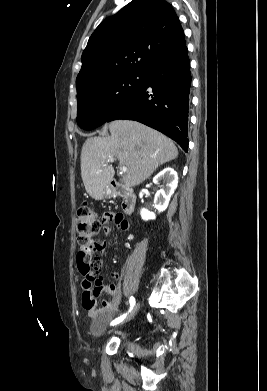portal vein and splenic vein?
I'll return each instance as SVG.
<instances>
[{"instance_id": "portal-vein-and-splenic-vein-1", "label": "portal vein and splenic vein", "mask_w": 267, "mask_h": 391, "mask_svg": "<svg viewBox=\"0 0 267 391\" xmlns=\"http://www.w3.org/2000/svg\"><path fill=\"white\" fill-rule=\"evenodd\" d=\"M114 161V158L113 157H110L109 159H108V162H113ZM127 171V167L126 166H121L120 167V172L121 173H125Z\"/></svg>"}]
</instances>
